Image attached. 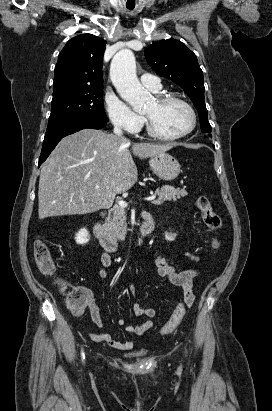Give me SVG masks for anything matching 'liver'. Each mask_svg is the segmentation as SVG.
<instances>
[{
  "label": "liver",
  "mask_w": 272,
  "mask_h": 411,
  "mask_svg": "<svg viewBox=\"0 0 272 411\" xmlns=\"http://www.w3.org/2000/svg\"><path fill=\"white\" fill-rule=\"evenodd\" d=\"M130 145L126 138L94 129L64 137L41 169L39 219L109 208L117 194L128 191L137 181ZM172 147L134 143L132 153L145 159Z\"/></svg>",
  "instance_id": "1"
}]
</instances>
